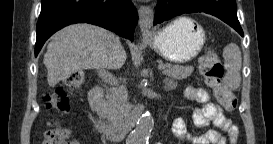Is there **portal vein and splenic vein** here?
<instances>
[{"instance_id":"1","label":"portal vein and splenic vein","mask_w":273,"mask_h":144,"mask_svg":"<svg viewBox=\"0 0 273 144\" xmlns=\"http://www.w3.org/2000/svg\"><path fill=\"white\" fill-rule=\"evenodd\" d=\"M158 69L159 70H164L165 66L161 64V65L158 66ZM100 77L103 80L108 81L111 84H114V85L117 84V81L113 77H111L110 75H107L106 73L101 72Z\"/></svg>"}]
</instances>
